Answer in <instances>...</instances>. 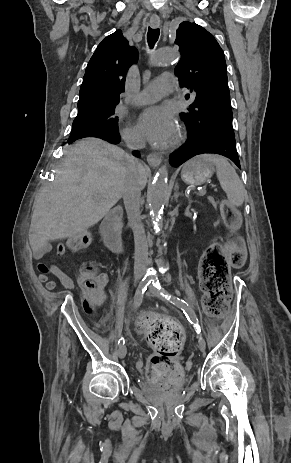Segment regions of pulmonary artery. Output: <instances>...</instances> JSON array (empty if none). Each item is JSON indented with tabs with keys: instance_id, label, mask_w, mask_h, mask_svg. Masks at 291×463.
I'll return each instance as SVG.
<instances>
[{
	"instance_id": "1",
	"label": "pulmonary artery",
	"mask_w": 291,
	"mask_h": 463,
	"mask_svg": "<svg viewBox=\"0 0 291 463\" xmlns=\"http://www.w3.org/2000/svg\"><path fill=\"white\" fill-rule=\"evenodd\" d=\"M176 87L177 79L173 75H160L137 95L134 102L136 105L156 102L162 97L174 93Z\"/></svg>"
}]
</instances>
